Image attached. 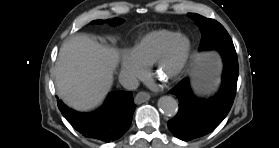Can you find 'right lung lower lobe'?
Listing matches in <instances>:
<instances>
[{"instance_id":"1","label":"right lung lower lobe","mask_w":279,"mask_h":148,"mask_svg":"<svg viewBox=\"0 0 279 148\" xmlns=\"http://www.w3.org/2000/svg\"><path fill=\"white\" fill-rule=\"evenodd\" d=\"M63 116L85 137L110 142L122 137L131 125L136 105L131 92L110 93L103 107L92 113H79L57 100Z\"/></svg>"}]
</instances>
